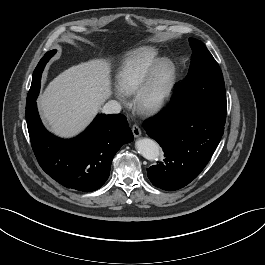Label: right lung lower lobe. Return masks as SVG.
Instances as JSON below:
<instances>
[{
    "label": "right lung lower lobe",
    "mask_w": 265,
    "mask_h": 265,
    "mask_svg": "<svg viewBox=\"0 0 265 265\" xmlns=\"http://www.w3.org/2000/svg\"><path fill=\"white\" fill-rule=\"evenodd\" d=\"M26 121L42 169L63 186L83 192L95 191L105 183L114 155L133 140L122 114L98 115L83 133L70 140L57 138L44 128L35 101L26 104Z\"/></svg>",
    "instance_id": "obj_1"
}]
</instances>
